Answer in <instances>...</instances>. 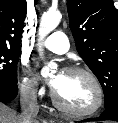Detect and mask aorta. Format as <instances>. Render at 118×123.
Returning <instances> with one entry per match:
<instances>
[{
  "label": "aorta",
  "mask_w": 118,
  "mask_h": 123,
  "mask_svg": "<svg viewBox=\"0 0 118 123\" xmlns=\"http://www.w3.org/2000/svg\"><path fill=\"white\" fill-rule=\"evenodd\" d=\"M61 18L62 15L59 11H49L42 16L38 31L39 41H42L51 31H53L58 26ZM38 50L42 55L43 49L41 48L40 44ZM54 66L55 63H48L46 66L42 68L41 75L44 77L48 76L50 73V69Z\"/></svg>",
  "instance_id": "obj_1"
}]
</instances>
